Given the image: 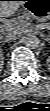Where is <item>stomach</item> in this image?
Here are the masks:
<instances>
[{
    "instance_id": "obj_1",
    "label": "stomach",
    "mask_w": 50,
    "mask_h": 111,
    "mask_svg": "<svg viewBox=\"0 0 50 111\" xmlns=\"http://www.w3.org/2000/svg\"><path fill=\"white\" fill-rule=\"evenodd\" d=\"M25 9L39 21L50 19V0H25Z\"/></svg>"
}]
</instances>
